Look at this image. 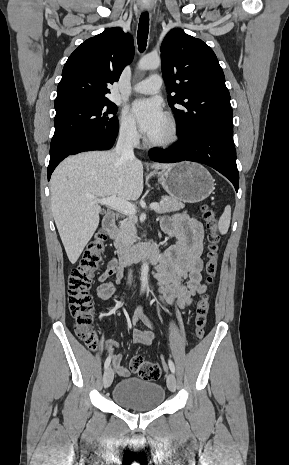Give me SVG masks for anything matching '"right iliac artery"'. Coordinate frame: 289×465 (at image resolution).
I'll return each mask as SVG.
<instances>
[{
    "instance_id": "82829eb1",
    "label": "right iliac artery",
    "mask_w": 289,
    "mask_h": 465,
    "mask_svg": "<svg viewBox=\"0 0 289 465\" xmlns=\"http://www.w3.org/2000/svg\"><path fill=\"white\" fill-rule=\"evenodd\" d=\"M110 362H111V357L108 356L107 359L105 360V363H104V368L107 369L110 365Z\"/></svg>"
}]
</instances>
